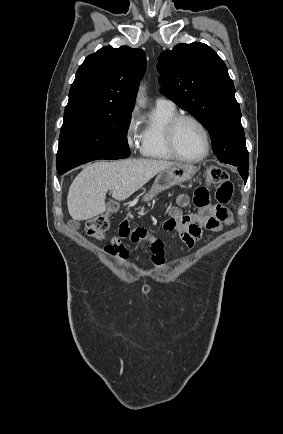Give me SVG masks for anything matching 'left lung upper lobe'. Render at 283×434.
Masks as SVG:
<instances>
[{"label": "left lung upper lobe", "mask_w": 283, "mask_h": 434, "mask_svg": "<svg viewBox=\"0 0 283 434\" xmlns=\"http://www.w3.org/2000/svg\"><path fill=\"white\" fill-rule=\"evenodd\" d=\"M161 93L208 130L217 158L249 165L240 106L233 81L217 53L206 44H178L158 57Z\"/></svg>", "instance_id": "left-lung-upper-lobe-1"}]
</instances>
